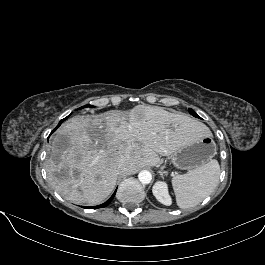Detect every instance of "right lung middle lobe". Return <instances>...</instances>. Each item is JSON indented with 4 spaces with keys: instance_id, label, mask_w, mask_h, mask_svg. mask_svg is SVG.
Returning <instances> with one entry per match:
<instances>
[{
    "instance_id": "right-lung-middle-lobe-1",
    "label": "right lung middle lobe",
    "mask_w": 265,
    "mask_h": 265,
    "mask_svg": "<svg viewBox=\"0 0 265 265\" xmlns=\"http://www.w3.org/2000/svg\"><path fill=\"white\" fill-rule=\"evenodd\" d=\"M85 107H90V105H86V106H83V107H81V108H85ZM68 118V116L66 117V118H64V119H62L61 121H60V123L61 122H63L65 119H67Z\"/></svg>"
}]
</instances>
